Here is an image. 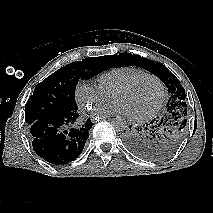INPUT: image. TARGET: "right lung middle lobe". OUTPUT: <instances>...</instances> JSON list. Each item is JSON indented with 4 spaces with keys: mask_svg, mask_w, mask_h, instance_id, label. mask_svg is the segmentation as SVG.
<instances>
[{
    "mask_svg": "<svg viewBox=\"0 0 213 213\" xmlns=\"http://www.w3.org/2000/svg\"><path fill=\"white\" fill-rule=\"evenodd\" d=\"M110 67L106 57H90L60 68L35 87L25 109V121L34 122L60 113L78 110L75 89L80 79H87Z\"/></svg>",
    "mask_w": 213,
    "mask_h": 213,
    "instance_id": "obj_1",
    "label": "right lung middle lobe"
}]
</instances>
